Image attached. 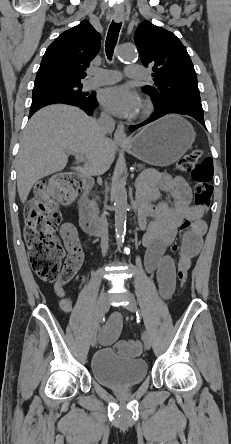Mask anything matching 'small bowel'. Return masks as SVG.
Listing matches in <instances>:
<instances>
[{
    "mask_svg": "<svg viewBox=\"0 0 231 444\" xmlns=\"http://www.w3.org/2000/svg\"><path fill=\"white\" fill-rule=\"evenodd\" d=\"M161 192L168 193L172 202L160 200ZM138 203L139 225L143 231L142 242L146 248L145 266L149 272H156L160 294L163 298H169L175 289L176 264L175 260L166 254V249L174 241L182 223H192L191 230L185 235L177 265L178 270L190 268L192 259L200 251L202 237L206 231V224L202 220L205 209L191 204V190L182 177L157 172H148L139 179ZM60 233L68 250L83 254V245L71 223H64ZM55 289L60 308L69 315L73 310L75 298L67 295L62 288L56 286ZM121 329L120 316L115 314L100 332L101 344L114 343L119 338Z\"/></svg>",
    "mask_w": 231,
    "mask_h": 444,
    "instance_id": "c3829d8e",
    "label": "small bowel"
}]
</instances>
